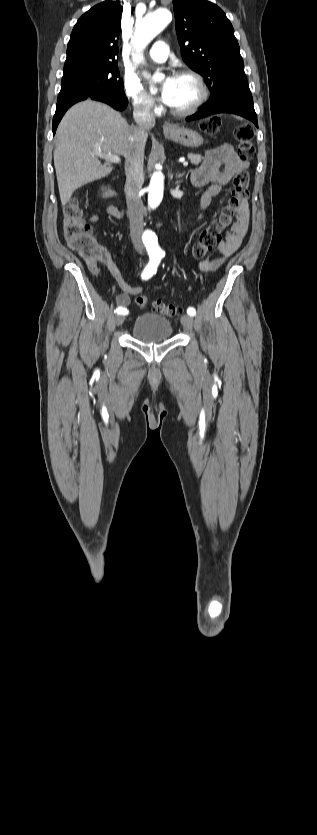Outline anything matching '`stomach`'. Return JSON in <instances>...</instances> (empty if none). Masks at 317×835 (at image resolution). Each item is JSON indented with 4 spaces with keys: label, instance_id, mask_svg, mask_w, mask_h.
Returning a JSON list of instances; mask_svg holds the SVG:
<instances>
[{
    "label": "stomach",
    "instance_id": "stomach-1",
    "mask_svg": "<svg viewBox=\"0 0 317 835\" xmlns=\"http://www.w3.org/2000/svg\"><path fill=\"white\" fill-rule=\"evenodd\" d=\"M164 134L170 140L191 148H198L204 142L203 137L190 128L174 126L173 130L164 131Z\"/></svg>",
    "mask_w": 317,
    "mask_h": 835
}]
</instances>
